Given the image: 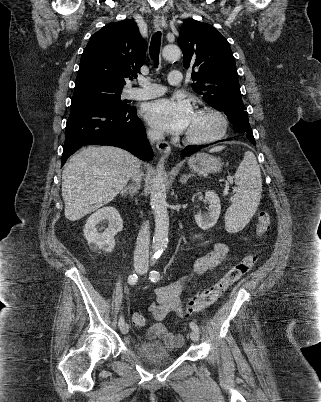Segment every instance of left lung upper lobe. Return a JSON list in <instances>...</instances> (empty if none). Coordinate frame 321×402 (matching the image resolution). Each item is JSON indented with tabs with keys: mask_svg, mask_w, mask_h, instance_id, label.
Wrapping results in <instances>:
<instances>
[{
	"mask_svg": "<svg viewBox=\"0 0 321 402\" xmlns=\"http://www.w3.org/2000/svg\"><path fill=\"white\" fill-rule=\"evenodd\" d=\"M178 44L183 52V65L192 69L191 77L196 81L193 90L210 106L223 111L229 121L241 119L251 130L228 41L215 27L187 19L181 26ZM250 134L254 137L252 131Z\"/></svg>",
	"mask_w": 321,
	"mask_h": 402,
	"instance_id": "left-lung-upper-lobe-1",
	"label": "left lung upper lobe"
}]
</instances>
